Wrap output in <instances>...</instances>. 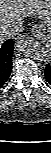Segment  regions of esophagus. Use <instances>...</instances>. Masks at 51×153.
Here are the masks:
<instances>
[{"instance_id": "esophagus-1", "label": "esophagus", "mask_w": 51, "mask_h": 153, "mask_svg": "<svg viewBox=\"0 0 51 153\" xmlns=\"http://www.w3.org/2000/svg\"><path fill=\"white\" fill-rule=\"evenodd\" d=\"M32 33L35 37H40L42 35L40 28L37 26H33Z\"/></svg>"}]
</instances>
